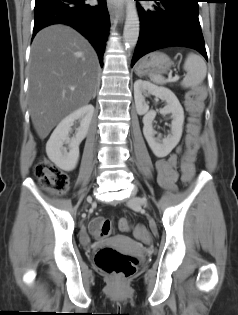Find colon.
Returning <instances> with one entry per match:
<instances>
[{
	"instance_id": "5ec220e1",
	"label": "colon",
	"mask_w": 238,
	"mask_h": 315,
	"mask_svg": "<svg viewBox=\"0 0 238 315\" xmlns=\"http://www.w3.org/2000/svg\"><path fill=\"white\" fill-rule=\"evenodd\" d=\"M204 97V89L197 88L187 98V108L192 117L186 136L185 153L181 160L182 177L186 182L192 178L194 172L193 160L199 148V117L203 109L202 101ZM34 174L44 187L56 193H64L69 187L68 175L47 160H42L35 165ZM118 227L122 231H128L131 224L127 219H121ZM89 230L95 238H105L112 231V223L108 218L98 217L91 221ZM134 233L140 239L147 240L149 238L147 229L142 225L137 226ZM95 263L102 272L117 282L129 279L135 273L137 267L136 258L124 255L110 247H103L97 252Z\"/></svg>"
}]
</instances>
